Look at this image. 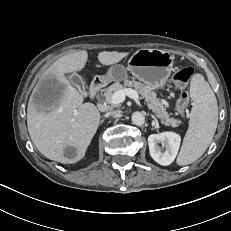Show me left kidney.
<instances>
[{"instance_id": "5707ae66", "label": "left kidney", "mask_w": 231, "mask_h": 231, "mask_svg": "<svg viewBox=\"0 0 231 231\" xmlns=\"http://www.w3.org/2000/svg\"><path fill=\"white\" fill-rule=\"evenodd\" d=\"M180 142V135L174 132L151 134L148 137L150 155L158 164L163 166L170 165L177 156ZM159 143L163 145V152L158 145Z\"/></svg>"}]
</instances>
